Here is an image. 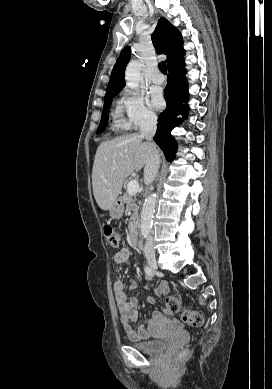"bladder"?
Here are the masks:
<instances>
[{
    "mask_svg": "<svg viewBox=\"0 0 272 389\" xmlns=\"http://www.w3.org/2000/svg\"><path fill=\"white\" fill-rule=\"evenodd\" d=\"M130 344L135 349L147 354H157L163 352L167 347V341L165 339H159L153 341L130 340Z\"/></svg>",
    "mask_w": 272,
    "mask_h": 389,
    "instance_id": "obj_1",
    "label": "bladder"
}]
</instances>
